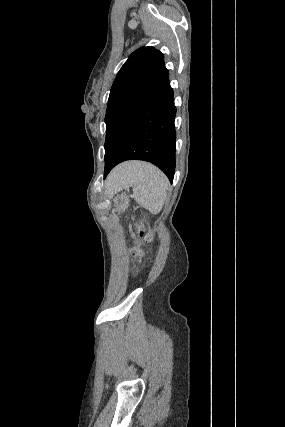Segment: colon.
<instances>
[{
	"mask_svg": "<svg viewBox=\"0 0 285 427\" xmlns=\"http://www.w3.org/2000/svg\"><path fill=\"white\" fill-rule=\"evenodd\" d=\"M135 229L137 230L140 238L145 242H150L152 240V233L149 230H146L143 223L139 222L135 224ZM136 252H139L138 249H136Z\"/></svg>",
	"mask_w": 285,
	"mask_h": 427,
	"instance_id": "5ec220e1",
	"label": "colon"
}]
</instances>
